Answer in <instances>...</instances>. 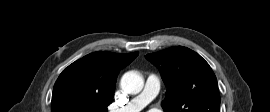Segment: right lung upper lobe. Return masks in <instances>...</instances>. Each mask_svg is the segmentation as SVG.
Listing matches in <instances>:
<instances>
[{
	"label": "right lung upper lobe",
	"mask_w": 270,
	"mask_h": 112,
	"mask_svg": "<svg viewBox=\"0 0 270 112\" xmlns=\"http://www.w3.org/2000/svg\"><path fill=\"white\" fill-rule=\"evenodd\" d=\"M137 55L138 52L117 54L100 51L75 61L62 71L54 85L52 109L64 95H76L108 106L113 101L119 71Z\"/></svg>",
	"instance_id": "cb5924a9"
}]
</instances>
